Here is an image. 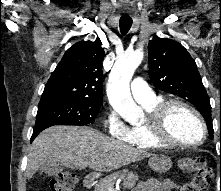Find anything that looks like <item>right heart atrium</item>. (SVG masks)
<instances>
[{"label": "right heart atrium", "instance_id": "1", "mask_svg": "<svg viewBox=\"0 0 221 191\" xmlns=\"http://www.w3.org/2000/svg\"><path fill=\"white\" fill-rule=\"evenodd\" d=\"M108 133L120 140H126L129 136V127L120 119L118 114L109 108L104 118Z\"/></svg>", "mask_w": 221, "mask_h": 191}]
</instances>
